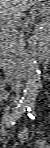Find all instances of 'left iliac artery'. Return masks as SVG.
<instances>
[{
	"instance_id": "44dca946",
	"label": "left iliac artery",
	"mask_w": 50,
	"mask_h": 148,
	"mask_svg": "<svg viewBox=\"0 0 50 148\" xmlns=\"http://www.w3.org/2000/svg\"><path fill=\"white\" fill-rule=\"evenodd\" d=\"M27 111H28V116L31 119H35V105H34V103H30L28 105Z\"/></svg>"
}]
</instances>
